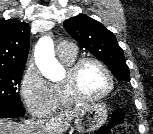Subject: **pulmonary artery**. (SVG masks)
Here are the masks:
<instances>
[{
	"mask_svg": "<svg viewBox=\"0 0 153 134\" xmlns=\"http://www.w3.org/2000/svg\"><path fill=\"white\" fill-rule=\"evenodd\" d=\"M58 57H67L76 53L75 45L71 42H60L56 47Z\"/></svg>",
	"mask_w": 153,
	"mask_h": 134,
	"instance_id": "1",
	"label": "pulmonary artery"
}]
</instances>
